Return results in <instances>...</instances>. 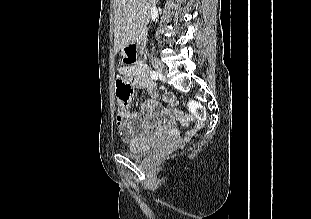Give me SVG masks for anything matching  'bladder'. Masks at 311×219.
<instances>
[{
    "mask_svg": "<svg viewBox=\"0 0 311 219\" xmlns=\"http://www.w3.org/2000/svg\"><path fill=\"white\" fill-rule=\"evenodd\" d=\"M153 148L151 145H146L142 141H132L126 152L130 158H140L152 152Z\"/></svg>",
    "mask_w": 311,
    "mask_h": 219,
    "instance_id": "1",
    "label": "bladder"
}]
</instances>
